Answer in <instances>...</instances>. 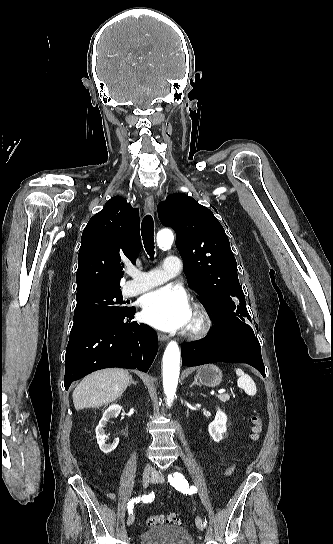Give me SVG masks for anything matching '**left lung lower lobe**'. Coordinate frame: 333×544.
Here are the masks:
<instances>
[{
	"instance_id": "0a47b994",
	"label": "left lung lower lobe",
	"mask_w": 333,
	"mask_h": 544,
	"mask_svg": "<svg viewBox=\"0 0 333 544\" xmlns=\"http://www.w3.org/2000/svg\"><path fill=\"white\" fill-rule=\"evenodd\" d=\"M182 365L209 362L247 363L265 377L260 346L250 327L241 323L214 324L203 339L182 345Z\"/></svg>"
}]
</instances>
